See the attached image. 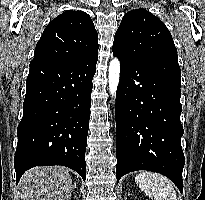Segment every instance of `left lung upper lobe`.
<instances>
[{
	"instance_id": "5c2ea615",
	"label": "left lung upper lobe",
	"mask_w": 205,
	"mask_h": 200,
	"mask_svg": "<svg viewBox=\"0 0 205 200\" xmlns=\"http://www.w3.org/2000/svg\"><path fill=\"white\" fill-rule=\"evenodd\" d=\"M113 49L134 59L161 54L177 55L165 24L145 9L131 10L124 15L114 37Z\"/></svg>"
}]
</instances>
